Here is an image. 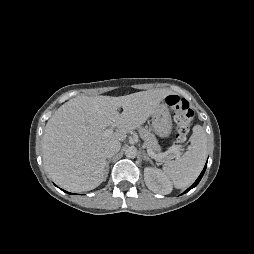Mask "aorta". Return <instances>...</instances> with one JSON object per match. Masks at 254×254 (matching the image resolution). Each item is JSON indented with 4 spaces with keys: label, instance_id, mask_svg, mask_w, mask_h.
Masks as SVG:
<instances>
[{
    "label": "aorta",
    "instance_id": "762f6f07",
    "mask_svg": "<svg viewBox=\"0 0 254 254\" xmlns=\"http://www.w3.org/2000/svg\"><path fill=\"white\" fill-rule=\"evenodd\" d=\"M125 156L127 158H135L137 156V149L134 146L128 147L125 150Z\"/></svg>",
    "mask_w": 254,
    "mask_h": 254
}]
</instances>
